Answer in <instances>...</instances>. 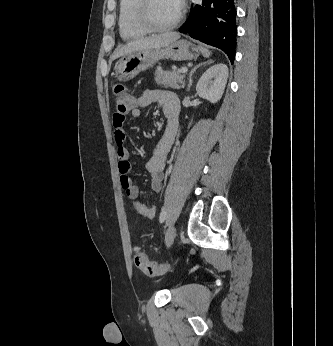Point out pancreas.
I'll use <instances>...</instances> for the list:
<instances>
[{
	"label": "pancreas",
	"mask_w": 333,
	"mask_h": 346,
	"mask_svg": "<svg viewBox=\"0 0 333 346\" xmlns=\"http://www.w3.org/2000/svg\"><path fill=\"white\" fill-rule=\"evenodd\" d=\"M184 74L180 73V69L174 71H163L157 69L155 72V81L158 85L169 88H183L185 85Z\"/></svg>",
	"instance_id": "obj_1"
}]
</instances>
